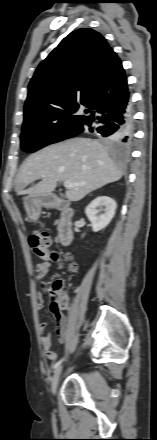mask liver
<instances>
[{
  "label": "liver",
  "mask_w": 157,
  "mask_h": 440,
  "mask_svg": "<svg viewBox=\"0 0 157 440\" xmlns=\"http://www.w3.org/2000/svg\"><path fill=\"white\" fill-rule=\"evenodd\" d=\"M122 171L113 163L107 149L97 140L74 138L49 145L30 155L23 163L16 184L17 195H49L58 181L74 187L65 195L75 202L108 183L118 181ZM42 179L29 189L27 185Z\"/></svg>",
  "instance_id": "1"
}]
</instances>
